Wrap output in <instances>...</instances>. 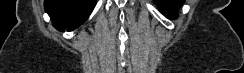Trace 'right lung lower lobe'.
I'll return each instance as SVG.
<instances>
[{"instance_id":"98d812e1","label":"right lung lower lobe","mask_w":244,"mask_h":73,"mask_svg":"<svg viewBox=\"0 0 244 73\" xmlns=\"http://www.w3.org/2000/svg\"><path fill=\"white\" fill-rule=\"evenodd\" d=\"M95 4L96 0H45L44 7L56 29L72 31L87 20Z\"/></svg>"}]
</instances>
